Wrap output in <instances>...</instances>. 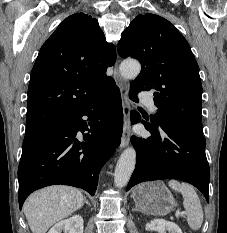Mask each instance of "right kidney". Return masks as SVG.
<instances>
[{
    "label": "right kidney",
    "mask_w": 227,
    "mask_h": 233,
    "mask_svg": "<svg viewBox=\"0 0 227 233\" xmlns=\"http://www.w3.org/2000/svg\"><path fill=\"white\" fill-rule=\"evenodd\" d=\"M83 218L80 215H74L71 218L62 220L55 224L48 233H83Z\"/></svg>",
    "instance_id": "right-kidney-1"
}]
</instances>
